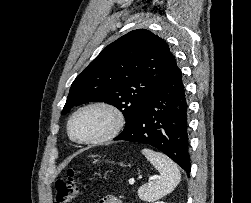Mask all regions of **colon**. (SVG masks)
<instances>
[{"mask_svg":"<svg viewBox=\"0 0 251 203\" xmlns=\"http://www.w3.org/2000/svg\"><path fill=\"white\" fill-rule=\"evenodd\" d=\"M55 203H71L78 195V185L75 181V171L68 170L67 178L60 179L55 184Z\"/></svg>","mask_w":251,"mask_h":203,"instance_id":"obj_1","label":"colon"}]
</instances>
